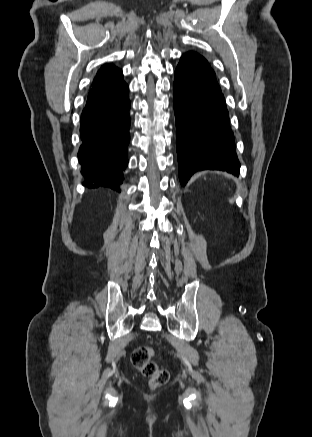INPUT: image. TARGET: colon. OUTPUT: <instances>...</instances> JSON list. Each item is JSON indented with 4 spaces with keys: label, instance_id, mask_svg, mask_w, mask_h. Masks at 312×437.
<instances>
[{
    "label": "colon",
    "instance_id": "obj_1",
    "mask_svg": "<svg viewBox=\"0 0 312 437\" xmlns=\"http://www.w3.org/2000/svg\"><path fill=\"white\" fill-rule=\"evenodd\" d=\"M154 351L150 346L136 348L131 356L132 364L148 379L151 389L158 388L169 380V372L153 361Z\"/></svg>",
    "mask_w": 312,
    "mask_h": 437
}]
</instances>
